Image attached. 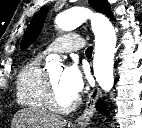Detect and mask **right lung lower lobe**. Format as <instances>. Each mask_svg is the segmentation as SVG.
<instances>
[{
  "instance_id": "obj_1",
  "label": "right lung lower lobe",
  "mask_w": 142,
  "mask_h": 128,
  "mask_svg": "<svg viewBox=\"0 0 142 128\" xmlns=\"http://www.w3.org/2000/svg\"><path fill=\"white\" fill-rule=\"evenodd\" d=\"M96 107H97V110L99 112L104 113L105 106H104V104L101 101L97 102V106Z\"/></svg>"
}]
</instances>
